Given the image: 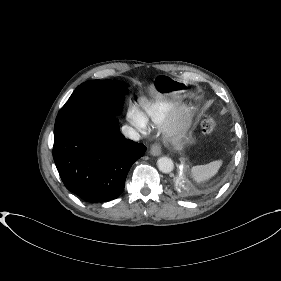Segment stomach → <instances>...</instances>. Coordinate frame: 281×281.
<instances>
[{
  "label": "stomach",
  "instance_id": "1",
  "mask_svg": "<svg viewBox=\"0 0 281 281\" xmlns=\"http://www.w3.org/2000/svg\"><path fill=\"white\" fill-rule=\"evenodd\" d=\"M153 88L155 92L164 98H175L187 93V84L177 78L168 75H158L154 78ZM191 142V137L187 138Z\"/></svg>",
  "mask_w": 281,
  "mask_h": 281
}]
</instances>
